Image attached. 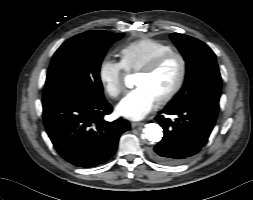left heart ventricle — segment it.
<instances>
[{
  "mask_svg": "<svg viewBox=\"0 0 253 200\" xmlns=\"http://www.w3.org/2000/svg\"><path fill=\"white\" fill-rule=\"evenodd\" d=\"M179 73V61L171 59L154 74H138L135 84L137 87L148 89L158 100L172 89L178 79Z\"/></svg>",
  "mask_w": 253,
  "mask_h": 200,
  "instance_id": "left-heart-ventricle-1",
  "label": "left heart ventricle"
}]
</instances>
